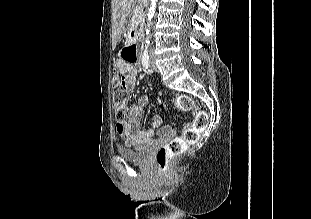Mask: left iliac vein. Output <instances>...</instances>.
<instances>
[{"label": "left iliac vein", "instance_id": "4c4485c4", "mask_svg": "<svg viewBox=\"0 0 311 219\" xmlns=\"http://www.w3.org/2000/svg\"><path fill=\"white\" fill-rule=\"evenodd\" d=\"M151 68H152L153 70H157V65H156V63H155V61H154V58H151Z\"/></svg>", "mask_w": 311, "mask_h": 219}]
</instances>
